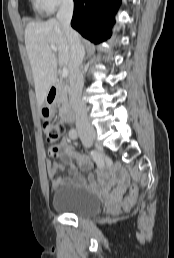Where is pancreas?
Returning <instances> with one entry per match:
<instances>
[{
  "label": "pancreas",
  "mask_w": 174,
  "mask_h": 258,
  "mask_svg": "<svg viewBox=\"0 0 174 258\" xmlns=\"http://www.w3.org/2000/svg\"><path fill=\"white\" fill-rule=\"evenodd\" d=\"M57 102H58V105L61 106L62 108H66L69 105L67 88L62 84L59 86Z\"/></svg>",
  "instance_id": "pancreas-1"
}]
</instances>
